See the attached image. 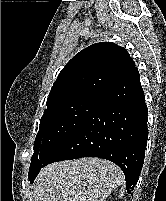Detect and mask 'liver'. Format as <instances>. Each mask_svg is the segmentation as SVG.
Listing matches in <instances>:
<instances>
[{
  "label": "liver",
  "mask_w": 166,
  "mask_h": 201,
  "mask_svg": "<svg viewBox=\"0 0 166 201\" xmlns=\"http://www.w3.org/2000/svg\"><path fill=\"white\" fill-rule=\"evenodd\" d=\"M124 182L114 163L94 157L50 164L33 184L34 201H105Z\"/></svg>",
  "instance_id": "6515ba94"
}]
</instances>
